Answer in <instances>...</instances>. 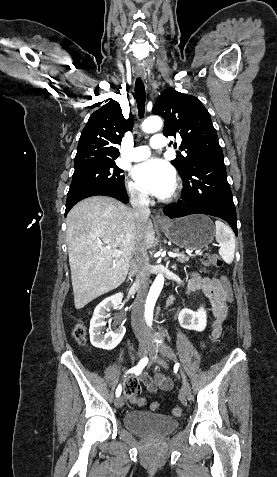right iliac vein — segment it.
<instances>
[{
	"mask_svg": "<svg viewBox=\"0 0 277 477\" xmlns=\"http://www.w3.org/2000/svg\"><path fill=\"white\" fill-rule=\"evenodd\" d=\"M149 350H150L149 344L146 341H141L139 344L138 356L139 357L146 356ZM123 405H124V397L118 396L115 400V406L117 408H121Z\"/></svg>",
	"mask_w": 277,
	"mask_h": 477,
	"instance_id": "obj_1",
	"label": "right iliac vein"
}]
</instances>
